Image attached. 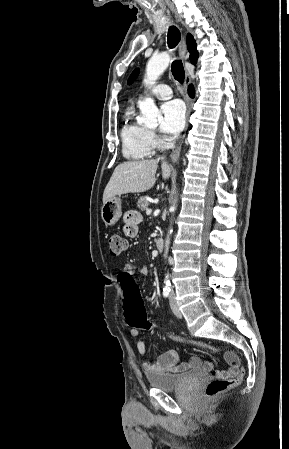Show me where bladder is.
<instances>
[{
  "mask_svg": "<svg viewBox=\"0 0 289 449\" xmlns=\"http://www.w3.org/2000/svg\"><path fill=\"white\" fill-rule=\"evenodd\" d=\"M205 376V371L202 369H195L190 372L171 374V373H156L148 374L147 380L149 384L157 389L163 391H174L183 388L196 380Z\"/></svg>",
  "mask_w": 289,
  "mask_h": 449,
  "instance_id": "1",
  "label": "bladder"
}]
</instances>
